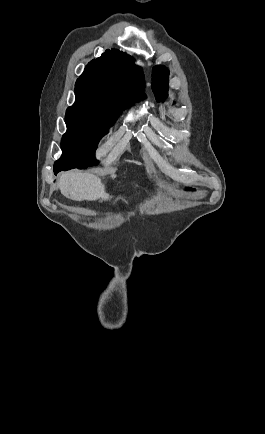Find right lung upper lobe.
Returning a JSON list of instances; mask_svg holds the SVG:
<instances>
[{
	"label": "right lung upper lobe",
	"instance_id": "obj_1",
	"mask_svg": "<svg viewBox=\"0 0 265 434\" xmlns=\"http://www.w3.org/2000/svg\"><path fill=\"white\" fill-rule=\"evenodd\" d=\"M144 74L128 54L106 50L90 61L75 84V90L95 91L109 100L131 105L144 97Z\"/></svg>",
	"mask_w": 265,
	"mask_h": 434
}]
</instances>
